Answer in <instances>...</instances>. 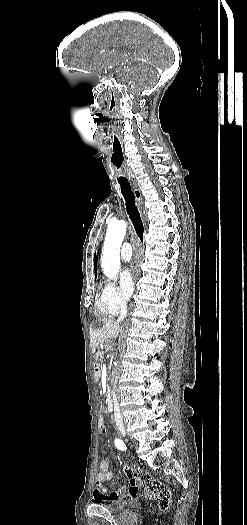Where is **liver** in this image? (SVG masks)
I'll use <instances>...</instances> for the list:
<instances>
[{
  "mask_svg": "<svg viewBox=\"0 0 247 525\" xmlns=\"http://www.w3.org/2000/svg\"><path fill=\"white\" fill-rule=\"evenodd\" d=\"M120 329L121 323H117L114 319H104V321H97L93 331L98 343H104L106 339L118 337Z\"/></svg>",
  "mask_w": 247,
  "mask_h": 525,
  "instance_id": "6515ba94",
  "label": "liver"
}]
</instances>
